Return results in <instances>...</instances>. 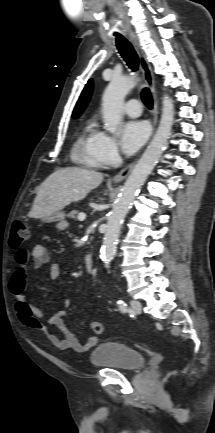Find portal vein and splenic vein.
<instances>
[{
	"label": "portal vein and splenic vein",
	"instance_id": "portal-vein-and-splenic-vein-1",
	"mask_svg": "<svg viewBox=\"0 0 215 433\" xmlns=\"http://www.w3.org/2000/svg\"><path fill=\"white\" fill-rule=\"evenodd\" d=\"M85 218H86V214H84V213H80V214L78 215V220H79V221H84Z\"/></svg>",
	"mask_w": 215,
	"mask_h": 433
}]
</instances>
